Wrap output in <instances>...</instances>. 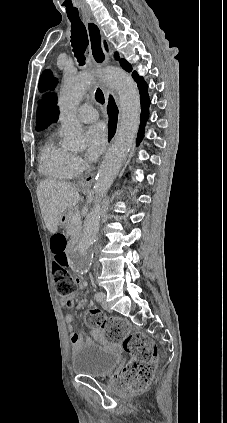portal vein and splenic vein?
<instances>
[{"mask_svg":"<svg viewBox=\"0 0 227 423\" xmlns=\"http://www.w3.org/2000/svg\"><path fill=\"white\" fill-rule=\"evenodd\" d=\"M72 221H73V223H79V221H81L80 213H73Z\"/></svg>","mask_w":227,"mask_h":423,"instance_id":"portal-vein-and-splenic-vein-1","label":"portal vein and splenic vein"}]
</instances>
